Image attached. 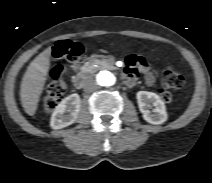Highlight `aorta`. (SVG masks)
Here are the masks:
<instances>
[{
	"label": "aorta",
	"mask_w": 212,
	"mask_h": 183,
	"mask_svg": "<svg viewBox=\"0 0 212 183\" xmlns=\"http://www.w3.org/2000/svg\"><path fill=\"white\" fill-rule=\"evenodd\" d=\"M97 84L103 88H109L116 82V77L109 71H102L96 76Z\"/></svg>",
	"instance_id": "1"
}]
</instances>
